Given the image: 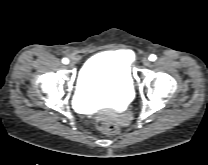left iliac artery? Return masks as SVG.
<instances>
[{"mask_svg": "<svg viewBox=\"0 0 208 165\" xmlns=\"http://www.w3.org/2000/svg\"><path fill=\"white\" fill-rule=\"evenodd\" d=\"M156 55H154V54H151L150 56H149V60L150 61H155L156 60Z\"/></svg>", "mask_w": 208, "mask_h": 165, "instance_id": "obj_1", "label": "left iliac artery"}]
</instances>
